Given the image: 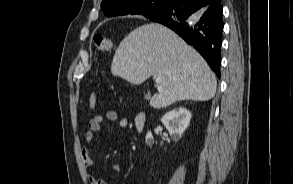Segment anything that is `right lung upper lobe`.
Instances as JSON below:
<instances>
[{"mask_svg": "<svg viewBox=\"0 0 293 184\" xmlns=\"http://www.w3.org/2000/svg\"><path fill=\"white\" fill-rule=\"evenodd\" d=\"M173 0H103L101 3V9L108 17H115L128 14H140L153 8V6L164 3L162 12L165 10ZM203 1V5L208 7L209 5L219 0H200ZM159 12V13H160ZM149 18V16L144 15ZM151 19V18H149Z\"/></svg>", "mask_w": 293, "mask_h": 184, "instance_id": "obj_1", "label": "right lung upper lobe"}]
</instances>
